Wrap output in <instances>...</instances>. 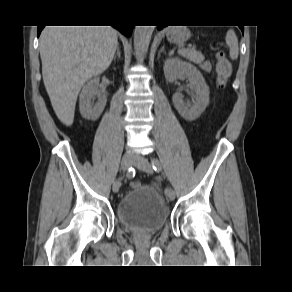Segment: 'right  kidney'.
Returning <instances> with one entry per match:
<instances>
[{
	"label": "right kidney",
	"instance_id": "obj_1",
	"mask_svg": "<svg viewBox=\"0 0 292 292\" xmlns=\"http://www.w3.org/2000/svg\"><path fill=\"white\" fill-rule=\"evenodd\" d=\"M99 78L94 77L84 85L79 97V109L83 118L95 121L102 114L106 98L101 96L98 91ZM95 96L98 97V102L94 103Z\"/></svg>",
	"mask_w": 292,
	"mask_h": 292
}]
</instances>
